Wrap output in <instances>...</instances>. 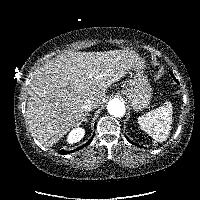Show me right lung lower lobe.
<instances>
[{
    "label": "right lung lower lobe",
    "instance_id": "right-lung-lower-lobe-1",
    "mask_svg": "<svg viewBox=\"0 0 200 200\" xmlns=\"http://www.w3.org/2000/svg\"><path fill=\"white\" fill-rule=\"evenodd\" d=\"M90 142H91V139L88 142H86L83 146L79 147V149L87 146ZM76 150H78V149H76ZM67 153H69V151H63V150L60 151V154H62V155H66Z\"/></svg>",
    "mask_w": 200,
    "mask_h": 200
}]
</instances>
